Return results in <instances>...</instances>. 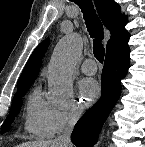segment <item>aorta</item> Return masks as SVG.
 <instances>
[{
  "label": "aorta",
  "mask_w": 145,
  "mask_h": 147,
  "mask_svg": "<svg viewBox=\"0 0 145 147\" xmlns=\"http://www.w3.org/2000/svg\"><path fill=\"white\" fill-rule=\"evenodd\" d=\"M83 48L81 36L72 33L56 45L49 65V98L53 103L66 102L72 94V74Z\"/></svg>",
  "instance_id": "762f6f07"
}]
</instances>
